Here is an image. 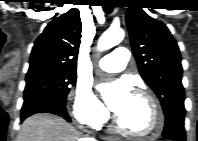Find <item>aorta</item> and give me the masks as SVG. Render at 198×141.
Listing matches in <instances>:
<instances>
[{
  "label": "aorta",
  "instance_id": "aorta-1",
  "mask_svg": "<svg viewBox=\"0 0 198 141\" xmlns=\"http://www.w3.org/2000/svg\"><path fill=\"white\" fill-rule=\"evenodd\" d=\"M125 36V32L121 28H109L103 33L98 40V49L103 51L110 49L119 44Z\"/></svg>",
  "mask_w": 198,
  "mask_h": 141
}]
</instances>
